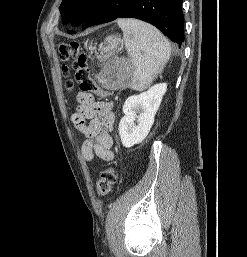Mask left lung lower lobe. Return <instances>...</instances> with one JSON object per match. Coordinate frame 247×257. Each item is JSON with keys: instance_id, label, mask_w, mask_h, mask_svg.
<instances>
[{"instance_id": "0a47b994", "label": "left lung lower lobe", "mask_w": 247, "mask_h": 257, "mask_svg": "<svg viewBox=\"0 0 247 257\" xmlns=\"http://www.w3.org/2000/svg\"><path fill=\"white\" fill-rule=\"evenodd\" d=\"M122 17L154 25L179 47L184 41L182 0H100L83 23V30Z\"/></svg>"}]
</instances>
